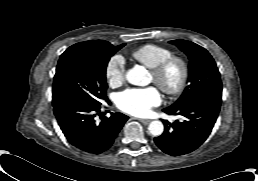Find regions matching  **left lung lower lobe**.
<instances>
[{"label":"left lung lower lobe","instance_id":"left-lung-lower-lobe-1","mask_svg":"<svg viewBox=\"0 0 258 181\" xmlns=\"http://www.w3.org/2000/svg\"><path fill=\"white\" fill-rule=\"evenodd\" d=\"M221 107V99L206 97L181 107H168L169 115H181L183 120L170 123L163 120L164 133L155 138L159 149L171 156L188 154L209 136Z\"/></svg>","mask_w":258,"mask_h":181}]
</instances>
